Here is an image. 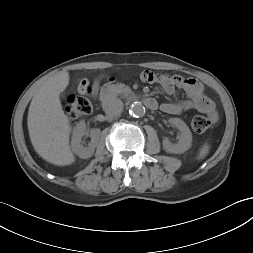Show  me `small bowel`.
Listing matches in <instances>:
<instances>
[{
    "mask_svg": "<svg viewBox=\"0 0 253 253\" xmlns=\"http://www.w3.org/2000/svg\"><path fill=\"white\" fill-rule=\"evenodd\" d=\"M141 79L149 83H159L167 94L182 89L187 99L178 102H164L160 105L163 112L171 115H178L183 111L194 109L208 116L212 123L217 120V112L214 102L205 94L203 84L195 78H184L180 75H168L166 73H154L145 71ZM101 87V78H96L90 87L89 80L83 78L78 82V90L82 94L90 89L94 96H97Z\"/></svg>",
    "mask_w": 253,
    "mask_h": 253,
    "instance_id": "obj_1",
    "label": "small bowel"
}]
</instances>
